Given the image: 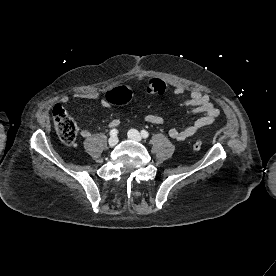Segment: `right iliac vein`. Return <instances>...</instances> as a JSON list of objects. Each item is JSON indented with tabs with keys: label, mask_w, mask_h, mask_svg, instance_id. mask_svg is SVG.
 Listing matches in <instances>:
<instances>
[{
	"label": "right iliac vein",
	"mask_w": 276,
	"mask_h": 276,
	"mask_svg": "<svg viewBox=\"0 0 276 276\" xmlns=\"http://www.w3.org/2000/svg\"><path fill=\"white\" fill-rule=\"evenodd\" d=\"M109 146L114 147L118 143L117 136H111L108 140Z\"/></svg>",
	"instance_id": "1"
}]
</instances>
